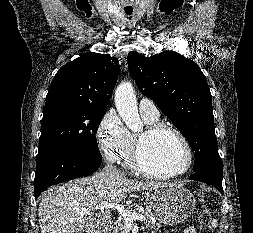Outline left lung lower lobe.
<instances>
[{
	"label": "left lung lower lobe",
	"mask_w": 253,
	"mask_h": 233,
	"mask_svg": "<svg viewBox=\"0 0 253 233\" xmlns=\"http://www.w3.org/2000/svg\"><path fill=\"white\" fill-rule=\"evenodd\" d=\"M222 177L223 172H219L214 169L204 168L202 170L196 171L193 175L190 176L189 179L201 181L213 185L216 187L221 193H223L222 188Z\"/></svg>",
	"instance_id": "1"
}]
</instances>
